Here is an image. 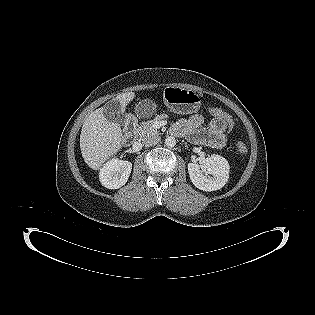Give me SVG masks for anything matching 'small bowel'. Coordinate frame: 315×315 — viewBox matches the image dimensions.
Masks as SVG:
<instances>
[{
  "mask_svg": "<svg viewBox=\"0 0 315 315\" xmlns=\"http://www.w3.org/2000/svg\"><path fill=\"white\" fill-rule=\"evenodd\" d=\"M203 117L194 114L179 120L172 128L175 135L187 136L195 144L205 145L212 148H223L226 144V132L228 126L223 119L213 116L206 128L202 127Z\"/></svg>",
  "mask_w": 315,
  "mask_h": 315,
  "instance_id": "small-bowel-1",
  "label": "small bowel"
}]
</instances>
